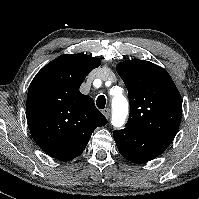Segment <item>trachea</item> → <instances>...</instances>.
Returning <instances> with one entry per match:
<instances>
[{"instance_id": "trachea-1", "label": "trachea", "mask_w": 199, "mask_h": 199, "mask_svg": "<svg viewBox=\"0 0 199 199\" xmlns=\"http://www.w3.org/2000/svg\"><path fill=\"white\" fill-rule=\"evenodd\" d=\"M96 105L99 109H103L106 105V98L104 95H100L98 96L97 100H96Z\"/></svg>"}]
</instances>
